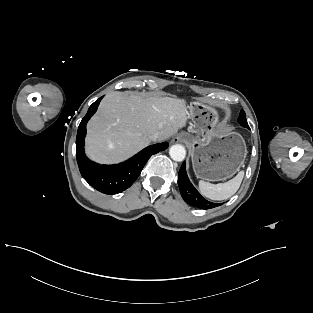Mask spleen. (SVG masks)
Returning a JSON list of instances; mask_svg holds the SVG:
<instances>
[{
	"instance_id": "obj_1",
	"label": "spleen",
	"mask_w": 313,
	"mask_h": 313,
	"mask_svg": "<svg viewBox=\"0 0 313 313\" xmlns=\"http://www.w3.org/2000/svg\"><path fill=\"white\" fill-rule=\"evenodd\" d=\"M244 177V171H240L233 179L219 184H211L203 180L199 181L201 194L211 200H225L234 195L239 189Z\"/></svg>"
}]
</instances>
